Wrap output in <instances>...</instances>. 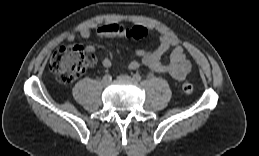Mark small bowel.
<instances>
[{"label":"small bowel","mask_w":259,"mask_h":156,"mask_svg":"<svg viewBox=\"0 0 259 156\" xmlns=\"http://www.w3.org/2000/svg\"><path fill=\"white\" fill-rule=\"evenodd\" d=\"M126 31L127 30L123 26L117 23H107L100 26L96 30V34L101 38H123L125 37ZM90 35L91 31L87 28H84L79 32V36L82 39H87ZM75 37L76 36L72 34L68 37V40L74 41ZM95 50L93 45L85 46V51L90 54H93ZM168 51H171L170 59L168 63H164L162 58ZM135 55L140 61L131 60L127 65L130 70H136L141 66H144L158 73H167L178 81L184 80L191 70V64L186 57L183 47L178 43V40L175 37L169 35H161L159 44L154 50L146 51L137 49ZM91 61H94V57L91 58ZM102 64L104 67H110L111 60L109 58H104Z\"/></svg>","instance_id":"1"}]
</instances>
